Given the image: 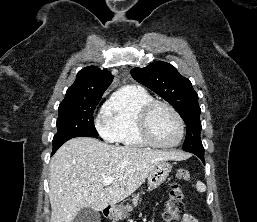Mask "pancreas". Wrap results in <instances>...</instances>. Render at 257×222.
<instances>
[{"instance_id": "pancreas-1", "label": "pancreas", "mask_w": 257, "mask_h": 222, "mask_svg": "<svg viewBox=\"0 0 257 222\" xmlns=\"http://www.w3.org/2000/svg\"><path fill=\"white\" fill-rule=\"evenodd\" d=\"M132 202H133V205H134V206H137V205H138V203L140 202V196H139V194L133 196ZM125 210H126V211H130V210H131V206H126V207H125Z\"/></svg>"}]
</instances>
